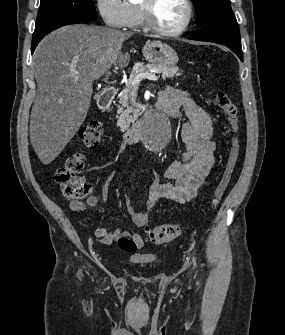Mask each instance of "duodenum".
I'll return each instance as SVG.
<instances>
[{
	"label": "duodenum",
	"mask_w": 285,
	"mask_h": 335,
	"mask_svg": "<svg viewBox=\"0 0 285 335\" xmlns=\"http://www.w3.org/2000/svg\"><path fill=\"white\" fill-rule=\"evenodd\" d=\"M117 94L115 87H109L102 91L98 99V106L101 109H107ZM157 109L166 116L175 117L177 114L176 107L169 100L158 101ZM142 121L134 122L125 132L124 139L129 144L137 142L141 137Z\"/></svg>",
	"instance_id": "410a0bca"
}]
</instances>
